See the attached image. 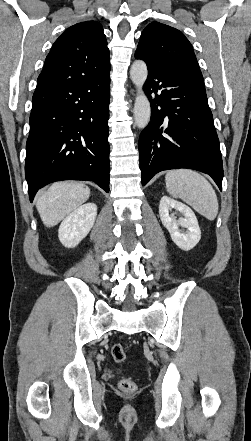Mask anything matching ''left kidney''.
<instances>
[{"mask_svg": "<svg viewBox=\"0 0 251 441\" xmlns=\"http://www.w3.org/2000/svg\"><path fill=\"white\" fill-rule=\"evenodd\" d=\"M174 209L184 215L178 220L169 212ZM159 215L162 224L170 233L173 242L182 250L189 251L196 246L201 238V230L197 218L190 207L163 196L159 204ZM186 230H180L179 227Z\"/></svg>", "mask_w": 251, "mask_h": 441, "instance_id": "1", "label": "left kidney"}]
</instances>
